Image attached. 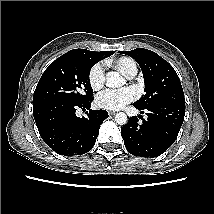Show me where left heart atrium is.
Instances as JSON below:
<instances>
[{
	"mask_svg": "<svg viewBox=\"0 0 214 214\" xmlns=\"http://www.w3.org/2000/svg\"><path fill=\"white\" fill-rule=\"evenodd\" d=\"M136 98V91L127 87L121 90H105L97 95L98 107L107 110H119Z\"/></svg>",
	"mask_w": 214,
	"mask_h": 214,
	"instance_id": "1",
	"label": "left heart atrium"
}]
</instances>
